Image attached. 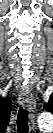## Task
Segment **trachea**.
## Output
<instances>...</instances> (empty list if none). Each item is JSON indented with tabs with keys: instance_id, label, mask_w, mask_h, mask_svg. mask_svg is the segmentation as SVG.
Returning a JSON list of instances; mask_svg holds the SVG:
<instances>
[{
	"instance_id": "obj_1",
	"label": "trachea",
	"mask_w": 53,
	"mask_h": 133,
	"mask_svg": "<svg viewBox=\"0 0 53 133\" xmlns=\"http://www.w3.org/2000/svg\"><path fill=\"white\" fill-rule=\"evenodd\" d=\"M17 131L18 133H28V110L20 107L17 115Z\"/></svg>"
}]
</instances>
